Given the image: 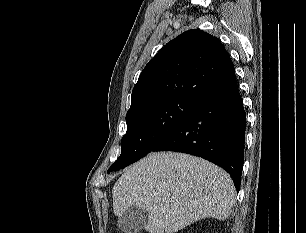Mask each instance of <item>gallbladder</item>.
Listing matches in <instances>:
<instances>
[{"label":"gallbladder","mask_w":306,"mask_h":233,"mask_svg":"<svg viewBox=\"0 0 306 233\" xmlns=\"http://www.w3.org/2000/svg\"><path fill=\"white\" fill-rule=\"evenodd\" d=\"M147 218L144 209L132 206L119 217L118 225L124 233H139L146 225Z\"/></svg>","instance_id":"1"}]
</instances>
